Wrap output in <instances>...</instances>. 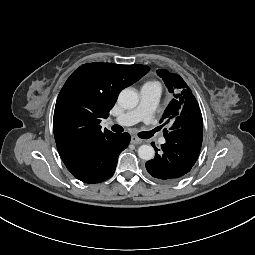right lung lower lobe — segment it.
<instances>
[{
	"label": "right lung lower lobe",
	"instance_id": "98d812e1",
	"mask_svg": "<svg viewBox=\"0 0 255 255\" xmlns=\"http://www.w3.org/2000/svg\"><path fill=\"white\" fill-rule=\"evenodd\" d=\"M130 139L128 133L115 134L88 144L62 160L77 179L85 183H100L114 174L118 156L127 148Z\"/></svg>",
	"mask_w": 255,
	"mask_h": 255
}]
</instances>
